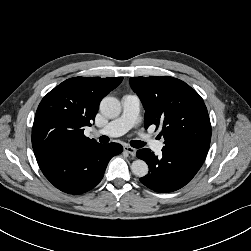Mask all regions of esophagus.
I'll list each match as a JSON object with an SVG mask.
<instances>
[{"label":"esophagus","mask_w":251,"mask_h":251,"mask_svg":"<svg viewBox=\"0 0 251 251\" xmlns=\"http://www.w3.org/2000/svg\"><path fill=\"white\" fill-rule=\"evenodd\" d=\"M124 151L129 153L131 156H135V154H136V149L129 146V145L124 146Z\"/></svg>","instance_id":"34e87169"}]
</instances>
